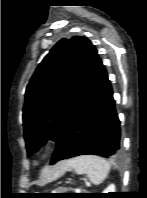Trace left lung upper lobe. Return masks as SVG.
<instances>
[{
	"label": "left lung upper lobe",
	"instance_id": "obj_1",
	"mask_svg": "<svg viewBox=\"0 0 147 198\" xmlns=\"http://www.w3.org/2000/svg\"><path fill=\"white\" fill-rule=\"evenodd\" d=\"M99 55L85 37L61 39L30 79L23 108L24 139L28 156L51 139L64 136L88 92Z\"/></svg>",
	"mask_w": 147,
	"mask_h": 198
}]
</instances>
